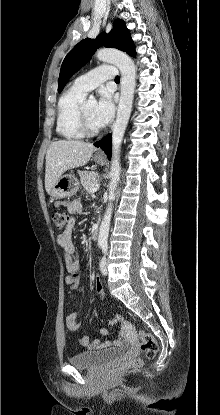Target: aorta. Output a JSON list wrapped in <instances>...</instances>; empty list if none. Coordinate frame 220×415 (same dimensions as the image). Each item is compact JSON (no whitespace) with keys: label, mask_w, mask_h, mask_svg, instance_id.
Wrapping results in <instances>:
<instances>
[{"label":"aorta","mask_w":220,"mask_h":415,"mask_svg":"<svg viewBox=\"0 0 220 415\" xmlns=\"http://www.w3.org/2000/svg\"><path fill=\"white\" fill-rule=\"evenodd\" d=\"M98 60L112 63L116 65L121 72V95L117 109L116 121L112 131V158H111V180L108 186L109 189V203L103 217L98 244H107L110 221L113 208V200L115 199V191L120 180V150L123 136L130 118L132 103L134 98V91L136 87V69L132 59L125 53L116 49H100L96 52ZM90 102H94L93 95L89 97Z\"/></svg>","instance_id":"762f6f07"}]
</instances>
